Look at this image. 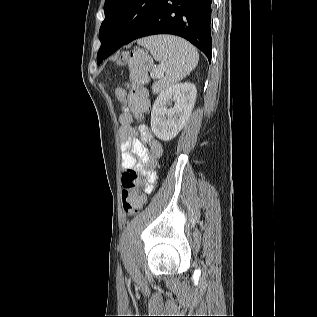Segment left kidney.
I'll return each instance as SVG.
<instances>
[{
  "label": "left kidney",
  "instance_id": "obj_1",
  "mask_svg": "<svg viewBox=\"0 0 317 317\" xmlns=\"http://www.w3.org/2000/svg\"><path fill=\"white\" fill-rule=\"evenodd\" d=\"M197 89L193 83L173 85L157 97L151 112V129L162 141H169L185 126L192 112ZM174 106L168 108L171 102Z\"/></svg>",
  "mask_w": 317,
  "mask_h": 317
}]
</instances>
